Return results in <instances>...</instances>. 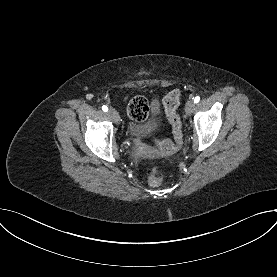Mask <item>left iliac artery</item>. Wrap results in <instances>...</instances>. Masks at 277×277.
<instances>
[{
    "label": "left iliac artery",
    "mask_w": 277,
    "mask_h": 277,
    "mask_svg": "<svg viewBox=\"0 0 277 277\" xmlns=\"http://www.w3.org/2000/svg\"><path fill=\"white\" fill-rule=\"evenodd\" d=\"M199 100H200V97H199V96H196V97L194 98V103H198Z\"/></svg>",
    "instance_id": "obj_1"
}]
</instances>
